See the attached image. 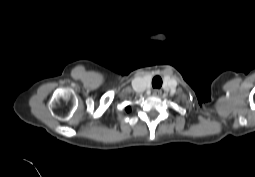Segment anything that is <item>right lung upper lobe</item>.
<instances>
[{
  "mask_svg": "<svg viewBox=\"0 0 255 177\" xmlns=\"http://www.w3.org/2000/svg\"><path fill=\"white\" fill-rule=\"evenodd\" d=\"M125 110H126L127 112H130V106L126 107Z\"/></svg>",
  "mask_w": 255,
  "mask_h": 177,
  "instance_id": "obj_1",
  "label": "right lung upper lobe"
}]
</instances>
